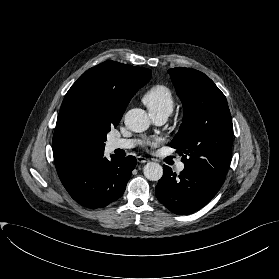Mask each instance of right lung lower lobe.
Masks as SVG:
<instances>
[{
	"label": "right lung lower lobe",
	"mask_w": 279,
	"mask_h": 279,
	"mask_svg": "<svg viewBox=\"0 0 279 279\" xmlns=\"http://www.w3.org/2000/svg\"><path fill=\"white\" fill-rule=\"evenodd\" d=\"M103 155H89L57 170L71 197L87 208H101L117 200L137 164L133 156L112 155L109 161Z\"/></svg>",
	"instance_id": "1"
}]
</instances>
